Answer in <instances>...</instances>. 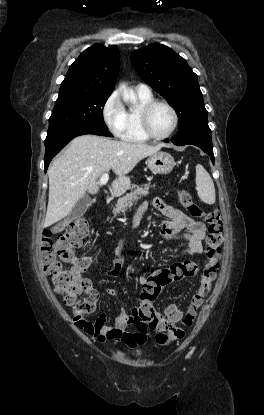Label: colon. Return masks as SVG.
<instances>
[{"instance_id":"colon-1","label":"colon","mask_w":264,"mask_h":415,"mask_svg":"<svg viewBox=\"0 0 264 415\" xmlns=\"http://www.w3.org/2000/svg\"><path fill=\"white\" fill-rule=\"evenodd\" d=\"M180 204L194 218H203L207 226L205 266L200 286L192 296L185 312L174 304L160 313L154 306L158 292L172 282L191 277L197 270L196 263L187 260L175 263L158 271L145 284L140 294L141 303L133 319L138 330L135 340L141 341L146 332H156V339L163 344L184 337L183 327H191L198 309L204 302L220 266L223 243V225L218 210H203L194 202L189 192L178 191ZM90 234L86 219L78 218L69 223L61 232L46 230L41 239L43 269L53 283L56 294L63 295L64 304L73 311L74 321L82 328L92 330L94 323L86 316L98 301V292L84 276L90 259L78 256L80 249Z\"/></svg>"}]
</instances>
